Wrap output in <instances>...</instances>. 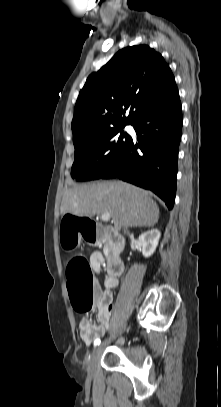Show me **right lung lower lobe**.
Listing matches in <instances>:
<instances>
[{
  "label": "right lung lower lobe",
  "instance_id": "1",
  "mask_svg": "<svg viewBox=\"0 0 221 407\" xmlns=\"http://www.w3.org/2000/svg\"><path fill=\"white\" fill-rule=\"evenodd\" d=\"M182 109L175 87L161 102L145 111L132 125L141 136L101 178L118 177L157 194L169 209L174 205ZM137 148L141 150L137 152Z\"/></svg>",
  "mask_w": 221,
  "mask_h": 407
}]
</instances>
